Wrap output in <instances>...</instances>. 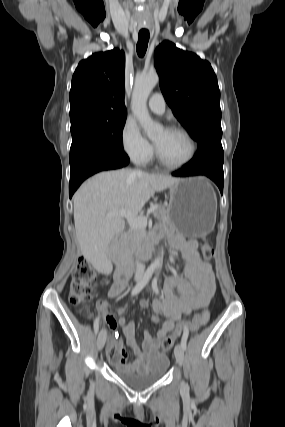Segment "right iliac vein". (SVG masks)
Returning a JSON list of instances; mask_svg holds the SVG:
<instances>
[{
    "instance_id": "right-iliac-vein-1",
    "label": "right iliac vein",
    "mask_w": 285,
    "mask_h": 427,
    "mask_svg": "<svg viewBox=\"0 0 285 427\" xmlns=\"http://www.w3.org/2000/svg\"><path fill=\"white\" fill-rule=\"evenodd\" d=\"M106 338H107V331L105 329H102L98 335V338H97L98 350H102V348L105 345Z\"/></svg>"
}]
</instances>
